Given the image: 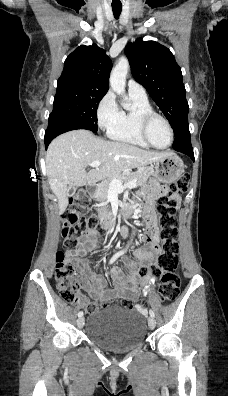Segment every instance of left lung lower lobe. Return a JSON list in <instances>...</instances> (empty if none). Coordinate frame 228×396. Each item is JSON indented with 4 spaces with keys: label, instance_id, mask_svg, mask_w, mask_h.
I'll list each match as a JSON object with an SVG mask.
<instances>
[{
    "label": "left lung lower lobe",
    "instance_id": "0a47b994",
    "mask_svg": "<svg viewBox=\"0 0 228 396\" xmlns=\"http://www.w3.org/2000/svg\"><path fill=\"white\" fill-rule=\"evenodd\" d=\"M173 148L176 151L187 154L194 161L188 122L183 128L176 132Z\"/></svg>",
    "mask_w": 228,
    "mask_h": 396
}]
</instances>
